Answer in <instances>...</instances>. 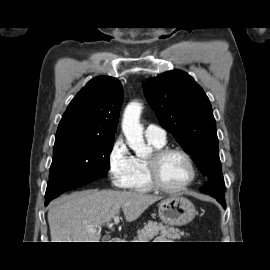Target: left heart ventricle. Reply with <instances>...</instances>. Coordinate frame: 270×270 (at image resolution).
Returning a JSON list of instances; mask_svg holds the SVG:
<instances>
[{"label":"left heart ventricle","mask_w":270,"mask_h":270,"mask_svg":"<svg viewBox=\"0 0 270 270\" xmlns=\"http://www.w3.org/2000/svg\"><path fill=\"white\" fill-rule=\"evenodd\" d=\"M158 173L161 182L168 187H178L184 184L190 176L185 158L178 153L165 156L159 162Z\"/></svg>","instance_id":"left-heart-ventricle-1"}]
</instances>
